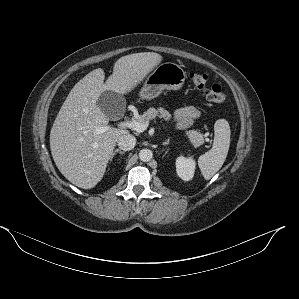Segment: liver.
Masks as SVG:
<instances>
[{"mask_svg":"<svg viewBox=\"0 0 299 299\" xmlns=\"http://www.w3.org/2000/svg\"><path fill=\"white\" fill-rule=\"evenodd\" d=\"M163 57L141 52L119 58L106 82L104 70L94 69L72 88L50 132V149L59 171L79 188L91 189L104 176L107 164L124 129L108 125V117L97 106L107 90L128 94L143 81ZM107 127L103 133L97 130Z\"/></svg>","mask_w":299,"mask_h":299,"instance_id":"liver-1","label":"liver"}]
</instances>
